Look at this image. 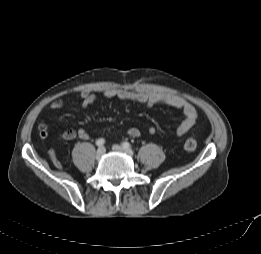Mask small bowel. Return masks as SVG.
Masks as SVG:
<instances>
[{"mask_svg":"<svg viewBox=\"0 0 261 254\" xmlns=\"http://www.w3.org/2000/svg\"><path fill=\"white\" fill-rule=\"evenodd\" d=\"M106 98H116L124 101H133L148 106H153L157 104H165L172 108L181 110L184 114V120L181 122L177 129V135L182 137L186 135L192 127L195 125L198 114L195 107L188 102L186 99L169 93L155 92V91H128L123 89H111L104 92ZM81 100V106L83 109L88 108L93 104L97 96L94 93L88 91H82L78 94ZM65 106V101L62 99H57L50 103L49 110H59ZM40 136L42 139L48 137V126L45 122H40L38 125ZM148 132L150 134L155 133V128L153 126L149 127ZM127 135L130 137H139L141 132L137 128H129L127 130ZM60 137L64 140H73L79 138L82 140H88L89 134L84 129H67L60 134ZM49 155L54 162H57V157L54 149L49 151Z\"/></svg>","mask_w":261,"mask_h":254,"instance_id":"c3829d8e","label":"small bowel"}]
</instances>
